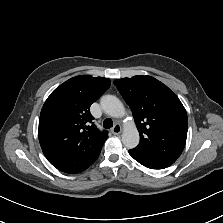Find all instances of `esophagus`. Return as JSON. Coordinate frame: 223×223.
I'll return each instance as SVG.
<instances>
[{
    "label": "esophagus",
    "instance_id": "esophagus-1",
    "mask_svg": "<svg viewBox=\"0 0 223 223\" xmlns=\"http://www.w3.org/2000/svg\"><path fill=\"white\" fill-rule=\"evenodd\" d=\"M111 132H112V134H114V135H118V134H120V133L122 132V127H121V125L118 124V123H116V124L113 126Z\"/></svg>",
    "mask_w": 223,
    "mask_h": 223
}]
</instances>
